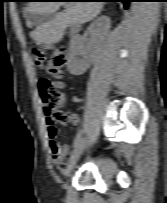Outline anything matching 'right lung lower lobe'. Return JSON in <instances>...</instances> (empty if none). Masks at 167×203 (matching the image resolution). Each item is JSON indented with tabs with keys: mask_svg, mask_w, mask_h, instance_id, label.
<instances>
[{
	"mask_svg": "<svg viewBox=\"0 0 167 203\" xmlns=\"http://www.w3.org/2000/svg\"><path fill=\"white\" fill-rule=\"evenodd\" d=\"M99 1H107V2H123L124 7L127 9L129 7V2L132 0H99Z\"/></svg>",
	"mask_w": 167,
	"mask_h": 203,
	"instance_id": "right-lung-lower-lobe-1",
	"label": "right lung lower lobe"
}]
</instances>
